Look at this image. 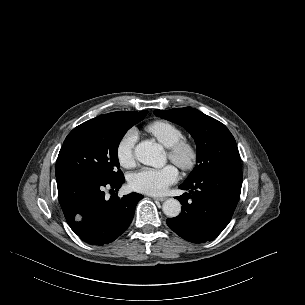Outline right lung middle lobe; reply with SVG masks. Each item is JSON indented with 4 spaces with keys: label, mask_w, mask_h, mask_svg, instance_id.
<instances>
[{
    "label": "right lung middle lobe",
    "mask_w": 305,
    "mask_h": 305,
    "mask_svg": "<svg viewBox=\"0 0 305 305\" xmlns=\"http://www.w3.org/2000/svg\"><path fill=\"white\" fill-rule=\"evenodd\" d=\"M147 112L127 119L100 115L75 127L59 152L56 177L76 175L101 182L122 177L117 154L119 143L127 130Z\"/></svg>",
    "instance_id": "right-lung-middle-lobe-1"
}]
</instances>
